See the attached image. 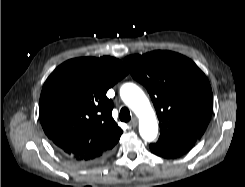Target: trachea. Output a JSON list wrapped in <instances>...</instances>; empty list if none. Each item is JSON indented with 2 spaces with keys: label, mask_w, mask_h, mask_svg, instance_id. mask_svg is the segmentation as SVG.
<instances>
[{
  "label": "trachea",
  "mask_w": 245,
  "mask_h": 187,
  "mask_svg": "<svg viewBox=\"0 0 245 187\" xmlns=\"http://www.w3.org/2000/svg\"><path fill=\"white\" fill-rule=\"evenodd\" d=\"M119 118L122 122H128L131 119V115H130V111L128 110V108L123 107L120 110V114H119Z\"/></svg>",
  "instance_id": "3493384b"
}]
</instances>
